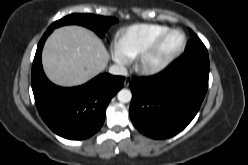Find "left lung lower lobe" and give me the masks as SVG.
Masks as SVG:
<instances>
[{
  "mask_svg": "<svg viewBox=\"0 0 248 165\" xmlns=\"http://www.w3.org/2000/svg\"><path fill=\"white\" fill-rule=\"evenodd\" d=\"M206 47L188 51L161 73L130 81V117L144 135L164 139L183 130L197 114L208 89Z\"/></svg>",
  "mask_w": 248,
  "mask_h": 165,
  "instance_id": "0a47b994",
  "label": "left lung lower lobe"
}]
</instances>
